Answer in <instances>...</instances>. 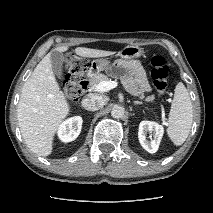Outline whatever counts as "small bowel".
Wrapping results in <instances>:
<instances>
[{
	"instance_id": "obj_1",
	"label": "small bowel",
	"mask_w": 213,
	"mask_h": 213,
	"mask_svg": "<svg viewBox=\"0 0 213 213\" xmlns=\"http://www.w3.org/2000/svg\"><path fill=\"white\" fill-rule=\"evenodd\" d=\"M117 72H124L122 80L134 94H144L150 90L147 77L140 62L119 60L115 64Z\"/></svg>"
}]
</instances>
